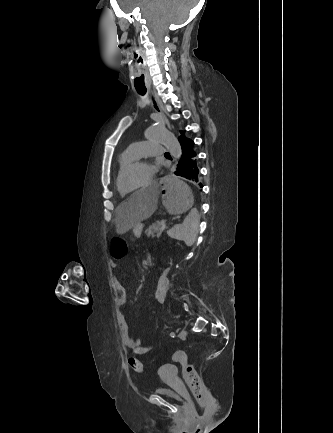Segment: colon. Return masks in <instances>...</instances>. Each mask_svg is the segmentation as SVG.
Returning <instances> with one entry per match:
<instances>
[{"label":"colon","mask_w":333,"mask_h":433,"mask_svg":"<svg viewBox=\"0 0 333 433\" xmlns=\"http://www.w3.org/2000/svg\"><path fill=\"white\" fill-rule=\"evenodd\" d=\"M127 243V236H112L110 241L111 258H124L125 253L129 252V245ZM166 269H169V266H166ZM166 269L161 270L158 277L159 280L156 282L157 285L154 291L156 297L154 301L156 304H161L162 298L164 297V294L161 292V286L166 285V278L169 275ZM173 360L181 365L184 380L195 400L200 405H205L210 398V393L201 374L191 362L189 355L185 351L178 350L173 354ZM129 364L137 373H143L144 365L139 359L132 357L129 359Z\"/></svg>","instance_id":"colon-1"}]
</instances>
